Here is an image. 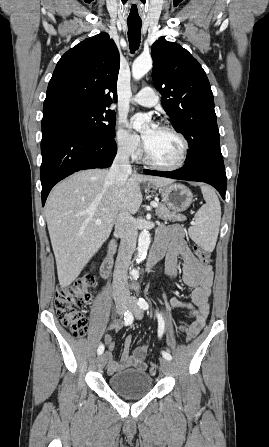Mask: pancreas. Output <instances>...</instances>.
I'll return each instance as SVG.
<instances>
[{"instance_id": "1", "label": "pancreas", "mask_w": 269, "mask_h": 447, "mask_svg": "<svg viewBox=\"0 0 269 447\" xmlns=\"http://www.w3.org/2000/svg\"><path fill=\"white\" fill-rule=\"evenodd\" d=\"M155 212L156 216H158V218H161V220H170V222H184V220H186L185 216H182V214L170 212L166 204H162V202H158V206Z\"/></svg>"}]
</instances>
